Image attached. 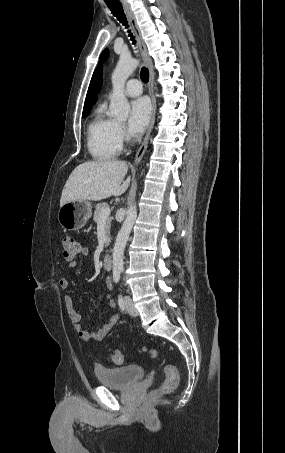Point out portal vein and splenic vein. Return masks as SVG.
<instances>
[{
	"label": "portal vein and splenic vein",
	"mask_w": 285,
	"mask_h": 453,
	"mask_svg": "<svg viewBox=\"0 0 285 453\" xmlns=\"http://www.w3.org/2000/svg\"><path fill=\"white\" fill-rule=\"evenodd\" d=\"M110 215V209L109 208H106V209H103L102 212H101V215H100V218L101 219H106L108 218Z\"/></svg>",
	"instance_id": "obj_1"
}]
</instances>
